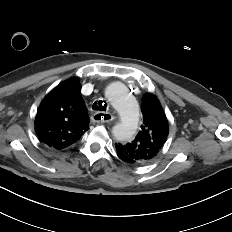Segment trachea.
I'll return each mask as SVG.
<instances>
[{
    "instance_id": "trachea-1",
    "label": "trachea",
    "mask_w": 232,
    "mask_h": 232,
    "mask_svg": "<svg viewBox=\"0 0 232 232\" xmlns=\"http://www.w3.org/2000/svg\"><path fill=\"white\" fill-rule=\"evenodd\" d=\"M92 109L97 111H106L107 103L106 101L103 100L95 101L92 106Z\"/></svg>"
}]
</instances>
